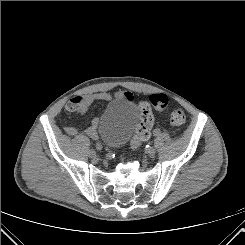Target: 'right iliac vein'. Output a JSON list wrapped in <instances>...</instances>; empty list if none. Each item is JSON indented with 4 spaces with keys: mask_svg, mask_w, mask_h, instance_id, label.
<instances>
[{
    "mask_svg": "<svg viewBox=\"0 0 245 245\" xmlns=\"http://www.w3.org/2000/svg\"><path fill=\"white\" fill-rule=\"evenodd\" d=\"M88 154H89V157H91V158H95L96 157V152H95L94 149H90Z\"/></svg>",
    "mask_w": 245,
    "mask_h": 245,
    "instance_id": "1",
    "label": "right iliac vein"
}]
</instances>
